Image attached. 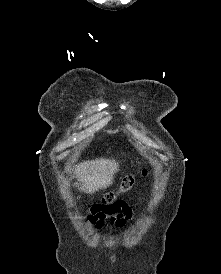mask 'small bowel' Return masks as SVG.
Segmentation results:
<instances>
[{"mask_svg":"<svg viewBox=\"0 0 221 274\" xmlns=\"http://www.w3.org/2000/svg\"><path fill=\"white\" fill-rule=\"evenodd\" d=\"M132 219V208L124 201L94 205L86 216L87 224L96 231L125 229Z\"/></svg>","mask_w":221,"mask_h":274,"instance_id":"small-bowel-1","label":"small bowel"}]
</instances>
